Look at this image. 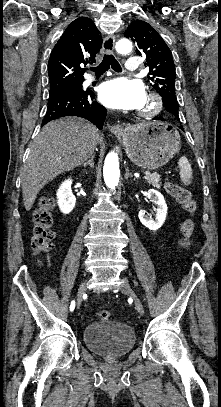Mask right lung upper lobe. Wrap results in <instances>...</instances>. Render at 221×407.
<instances>
[{
  "label": "right lung upper lobe",
  "mask_w": 221,
  "mask_h": 407,
  "mask_svg": "<svg viewBox=\"0 0 221 407\" xmlns=\"http://www.w3.org/2000/svg\"><path fill=\"white\" fill-rule=\"evenodd\" d=\"M90 18L80 17L71 22L51 52L48 75L51 86L71 85L84 81L81 66L95 62L102 38Z\"/></svg>",
  "instance_id": "obj_1"
}]
</instances>
